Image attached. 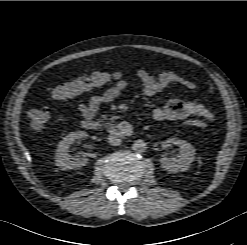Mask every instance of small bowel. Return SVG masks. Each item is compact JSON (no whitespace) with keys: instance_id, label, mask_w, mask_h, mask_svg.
<instances>
[{"instance_id":"obj_1","label":"small bowel","mask_w":247,"mask_h":245,"mask_svg":"<svg viewBox=\"0 0 247 245\" xmlns=\"http://www.w3.org/2000/svg\"><path fill=\"white\" fill-rule=\"evenodd\" d=\"M136 80L146 96L156 95L171 84L180 85L190 91L196 90V85L192 81L172 71L153 74L142 69L137 72ZM129 85L130 80L121 76L101 94L92 96L87 104H79L77 107L79 113L84 119L96 117L102 104L116 100ZM152 117L156 121H178L192 117L210 122L215 120V115L204 104L195 100L184 101L179 99H172L164 106L155 108Z\"/></svg>"}]
</instances>
